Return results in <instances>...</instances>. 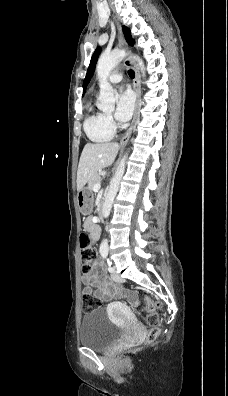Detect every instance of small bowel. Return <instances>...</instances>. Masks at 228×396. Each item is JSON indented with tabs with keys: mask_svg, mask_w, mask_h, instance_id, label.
<instances>
[{
	"mask_svg": "<svg viewBox=\"0 0 228 396\" xmlns=\"http://www.w3.org/2000/svg\"><path fill=\"white\" fill-rule=\"evenodd\" d=\"M84 228L88 231L90 240L95 243L99 239V228L95 225L93 218H88L85 221ZM98 265L97 262L94 266ZM84 283L83 293H92L93 288H95L94 294L103 301H112L115 298H125L132 305L138 304V299L135 293L130 290L116 286L111 282V280L98 272H93L82 278ZM123 310H128V308L121 304Z\"/></svg>",
	"mask_w": 228,
	"mask_h": 396,
	"instance_id": "1",
	"label": "small bowel"
}]
</instances>
